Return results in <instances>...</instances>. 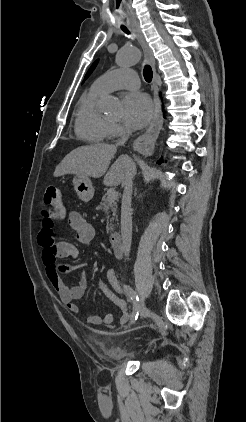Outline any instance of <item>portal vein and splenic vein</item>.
<instances>
[{
	"instance_id": "obj_1",
	"label": "portal vein and splenic vein",
	"mask_w": 246,
	"mask_h": 422,
	"mask_svg": "<svg viewBox=\"0 0 246 422\" xmlns=\"http://www.w3.org/2000/svg\"><path fill=\"white\" fill-rule=\"evenodd\" d=\"M118 198V192L116 191H112L109 195H108V200L113 202Z\"/></svg>"
}]
</instances>
